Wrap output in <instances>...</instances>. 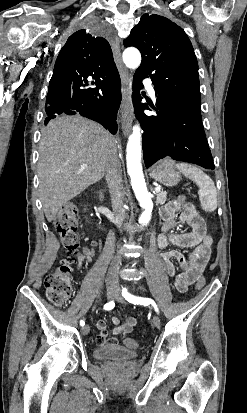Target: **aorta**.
I'll return each mask as SVG.
<instances>
[{
    "instance_id": "obj_1",
    "label": "aorta",
    "mask_w": 247,
    "mask_h": 413,
    "mask_svg": "<svg viewBox=\"0 0 247 413\" xmlns=\"http://www.w3.org/2000/svg\"><path fill=\"white\" fill-rule=\"evenodd\" d=\"M123 61L130 69H137L141 63V54L136 48H127L123 52ZM127 169L135 196L143 208L139 218L141 224H148L153 210L151 193L147 190L141 164V129L137 124L127 143Z\"/></svg>"
}]
</instances>
